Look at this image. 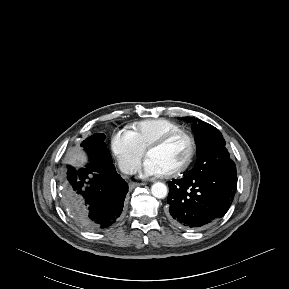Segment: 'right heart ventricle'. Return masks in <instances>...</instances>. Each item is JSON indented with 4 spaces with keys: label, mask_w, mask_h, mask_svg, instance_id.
Listing matches in <instances>:
<instances>
[{
    "label": "right heart ventricle",
    "mask_w": 289,
    "mask_h": 289,
    "mask_svg": "<svg viewBox=\"0 0 289 289\" xmlns=\"http://www.w3.org/2000/svg\"><path fill=\"white\" fill-rule=\"evenodd\" d=\"M182 130L181 126L177 123L164 119H148L136 123L133 126V133L136 136V139L139 145L146 150L147 147L152 144L154 141L163 137L164 135Z\"/></svg>",
    "instance_id": "e07e8e85"
}]
</instances>
